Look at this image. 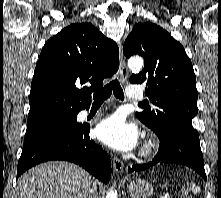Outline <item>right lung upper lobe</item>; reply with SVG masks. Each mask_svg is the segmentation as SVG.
<instances>
[{
	"mask_svg": "<svg viewBox=\"0 0 221 198\" xmlns=\"http://www.w3.org/2000/svg\"><path fill=\"white\" fill-rule=\"evenodd\" d=\"M119 67V49L90 23H75L44 45L29 96L28 122L88 109L90 93ZM90 84V87L83 86Z\"/></svg>",
	"mask_w": 221,
	"mask_h": 198,
	"instance_id": "1",
	"label": "right lung upper lobe"
}]
</instances>
